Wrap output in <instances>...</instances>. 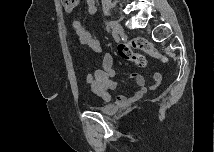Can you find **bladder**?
<instances>
[{"label":"bladder","instance_id":"bladder-1","mask_svg":"<svg viewBox=\"0 0 215 152\" xmlns=\"http://www.w3.org/2000/svg\"><path fill=\"white\" fill-rule=\"evenodd\" d=\"M93 108L103 114H110L115 111L116 107L113 104L95 105Z\"/></svg>","mask_w":215,"mask_h":152}]
</instances>
